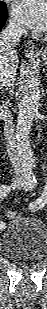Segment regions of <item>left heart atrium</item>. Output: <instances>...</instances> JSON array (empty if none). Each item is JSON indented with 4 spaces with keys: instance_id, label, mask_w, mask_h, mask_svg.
<instances>
[{
    "instance_id": "left-heart-atrium-1",
    "label": "left heart atrium",
    "mask_w": 47,
    "mask_h": 309,
    "mask_svg": "<svg viewBox=\"0 0 47 309\" xmlns=\"http://www.w3.org/2000/svg\"><path fill=\"white\" fill-rule=\"evenodd\" d=\"M12 12L15 18L25 26L35 30L46 29V0H15Z\"/></svg>"
}]
</instances>
